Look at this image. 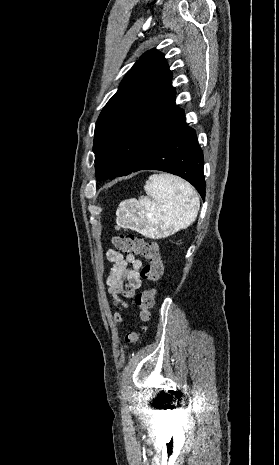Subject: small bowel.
<instances>
[{"mask_svg":"<svg viewBox=\"0 0 279 465\" xmlns=\"http://www.w3.org/2000/svg\"><path fill=\"white\" fill-rule=\"evenodd\" d=\"M106 259L113 264L106 279L108 293L112 303L119 310H124L129 304L122 297L134 298L142 286V262L135 254H123L116 249H108ZM113 320L117 324L123 321L119 312H115Z\"/></svg>","mask_w":279,"mask_h":465,"instance_id":"c3829d8e","label":"small bowel"}]
</instances>
